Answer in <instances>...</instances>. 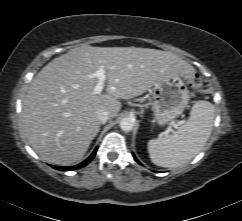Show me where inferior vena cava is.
Masks as SVG:
<instances>
[{
	"instance_id": "inferior-vena-cava-1",
	"label": "inferior vena cava",
	"mask_w": 242,
	"mask_h": 221,
	"mask_svg": "<svg viewBox=\"0 0 242 221\" xmlns=\"http://www.w3.org/2000/svg\"><path fill=\"white\" fill-rule=\"evenodd\" d=\"M96 115H97L98 120L102 124L106 123L109 120V118H110L109 112L106 111V110H102V109L98 110L96 112Z\"/></svg>"
}]
</instances>
